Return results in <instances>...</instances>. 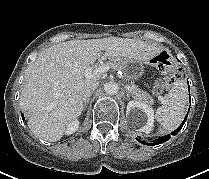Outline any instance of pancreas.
<instances>
[{
    "mask_svg": "<svg viewBox=\"0 0 209 179\" xmlns=\"http://www.w3.org/2000/svg\"><path fill=\"white\" fill-rule=\"evenodd\" d=\"M111 66L114 70H119L120 69V64L118 62H112ZM132 90L130 91L131 95L133 96L134 99L146 103V104H153L154 100L153 98L145 91L141 90L134 84L131 86Z\"/></svg>",
    "mask_w": 209,
    "mask_h": 179,
    "instance_id": "cf45deb5",
    "label": "pancreas"
}]
</instances>
